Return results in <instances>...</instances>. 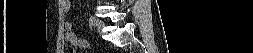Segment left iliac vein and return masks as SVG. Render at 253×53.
Returning <instances> with one entry per match:
<instances>
[{"mask_svg":"<svg viewBox=\"0 0 253 53\" xmlns=\"http://www.w3.org/2000/svg\"><path fill=\"white\" fill-rule=\"evenodd\" d=\"M103 26H104V23L101 22V21H98L97 24H96V27H97L99 32L102 30Z\"/></svg>","mask_w":253,"mask_h":53,"instance_id":"4c4485c4","label":"left iliac vein"}]
</instances>
